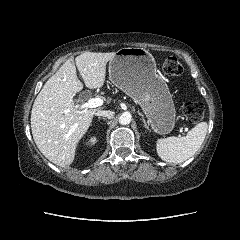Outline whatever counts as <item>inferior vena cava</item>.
Returning a JSON list of instances; mask_svg holds the SVG:
<instances>
[{"label": "inferior vena cava", "mask_w": 240, "mask_h": 240, "mask_svg": "<svg viewBox=\"0 0 240 240\" xmlns=\"http://www.w3.org/2000/svg\"><path fill=\"white\" fill-rule=\"evenodd\" d=\"M114 112L113 111H110V110H106V111H103V110H98L95 115L96 116H103V117H106L108 119H111L114 117Z\"/></svg>", "instance_id": "inferior-vena-cava-1"}]
</instances>
